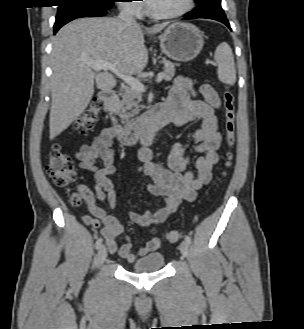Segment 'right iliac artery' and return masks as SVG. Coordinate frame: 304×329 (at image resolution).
Returning <instances> with one entry per match:
<instances>
[{
    "label": "right iliac artery",
    "instance_id": "1",
    "mask_svg": "<svg viewBox=\"0 0 304 329\" xmlns=\"http://www.w3.org/2000/svg\"><path fill=\"white\" fill-rule=\"evenodd\" d=\"M101 244H102V238L97 239V241L95 243L96 249H99L101 247Z\"/></svg>",
    "mask_w": 304,
    "mask_h": 329
}]
</instances>
